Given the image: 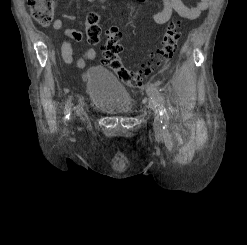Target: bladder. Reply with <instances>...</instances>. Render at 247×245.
Instances as JSON below:
<instances>
[{
    "mask_svg": "<svg viewBox=\"0 0 247 245\" xmlns=\"http://www.w3.org/2000/svg\"><path fill=\"white\" fill-rule=\"evenodd\" d=\"M85 79L90 101L95 107L111 115L130 113V94L108 69L90 68Z\"/></svg>",
    "mask_w": 247,
    "mask_h": 245,
    "instance_id": "obj_1",
    "label": "bladder"
}]
</instances>
